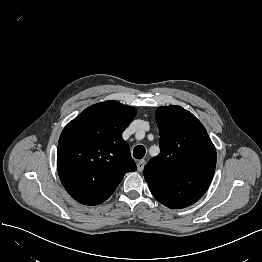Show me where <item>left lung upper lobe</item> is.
Here are the masks:
<instances>
[{"mask_svg": "<svg viewBox=\"0 0 262 262\" xmlns=\"http://www.w3.org/2000/svg\"><path fill=\"white\" fill-rule=\"evenodd\" d=\"M160 154L144 168L153 196L173 209L195 203L208 189L216 167V150L205 127L180 106L156 110Z\"/></svg>", "mask_w": 262, "mask_h": 262, "instance_id": "left-lung-upper-lobe-1", "label": "left lung upper lobe"}]
</instances>
